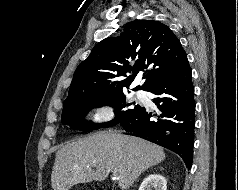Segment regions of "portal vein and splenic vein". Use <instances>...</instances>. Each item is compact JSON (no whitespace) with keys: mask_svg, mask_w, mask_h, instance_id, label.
<instances>
[{"mask_svg":"<svg viewBox=\"0 0 238 190\" xmlns=\"http://www.w3.org/2000/svg\"><path fill=\"white\" fill-rule=\"evenodd\" d=\"M113 174H114L115 179H119V178L115 175V173H113Z\"/></svg>","mask_w":238,"mask_h":190,"instance_id":"portal-vein-and-splenic-vein-1","label":"portal vein and splenic vein"}]
</instances>
